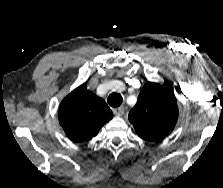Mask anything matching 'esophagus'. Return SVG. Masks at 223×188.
<instances>
[{
	"label": "esophagus",
	"instance_id": "obj_1",
	"mask_svg": "<svg viewBox=\"0 0 223 188\" xmlns=\"http://www.w3.org/2000/svg\"><path fill=\"white\" fill-rule=\"evenodd\" d=\"M113 112L116 116H122L124 114V107L123 106L117 107L113 109Z\"/></svg>",
	"mask_w": 223,
	"mask_h": 188
}]
</instances>
